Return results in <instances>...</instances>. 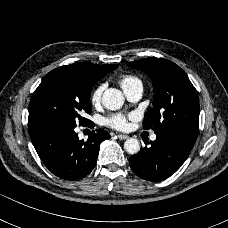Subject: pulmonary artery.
<instances>
[{
  "instance_id": "obj_1",
  "label": "pulmonary artery",
  "mask_w": 228,
  "mask_h": 228,
  "mask_svg": "<svg viewBox=\"0 0 228 228\" xmlns=\"http://www.w3.org/2000/svg\"><path fill=\"white\" fill-rule=\"evenodd\" d=\"M124 93L130 101L136 102V101L140 100L143 95V84L138 83L135 86H133L132 88L124 90ZM156 138H157L156 134L152 133L150 136V139L152 141H154V140H156Z\"/></svg>"
}]
</instances>
